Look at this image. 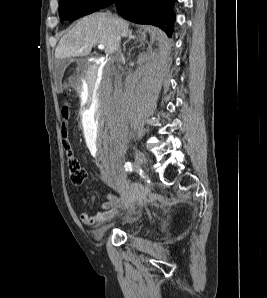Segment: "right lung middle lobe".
Here are the masks:
<instances>
[{"label": "right lung middle lobe", "mask_w": 267, "mask_h": 298, "mask_svg": "<svg viewBox=\"0 0 267 298\" xmlns=\"http://www.w3.org/2000/svg\"><path fill=\"white\" fill-rule=\"evenodd\" d=\"M106 0H59V16L63 20H75L97 11Z\"/></svg>", "instance_id": "obj_1"}]
</instances>
